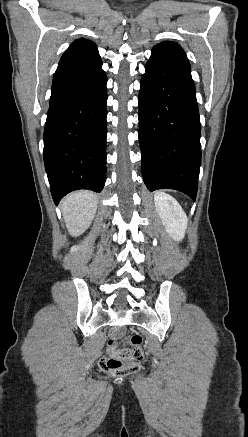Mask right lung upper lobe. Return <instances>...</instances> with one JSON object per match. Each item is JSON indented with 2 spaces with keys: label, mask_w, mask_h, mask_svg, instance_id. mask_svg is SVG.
<instances>
[{
  "label": "right lung upper lobe",
  "mask_w": 248,
  "mask_h": 437,
  "mask_svg": "<svg viewBox=\"0 0 248 437\" xmlns=\"http://www.w3.org/2000/svg\"><path fill=\"white\" fill-rule=\"evenodd\" d=\"M100 57L96 45L86 39L75 40L63 54L60 62L84 61Z\"/></svg>",
  "instance_id": "1"
}]
</instances>
